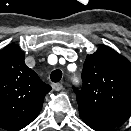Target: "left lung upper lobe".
Returning <instances> with one entry per match:
<instances>
[{
    "instance_id": "5c2ea615",
    "label": "left lung upper lobe",
    "mask_w": 131,
    "mask_h": 131,
    "mask_svg": "<svg viewBox=\"0 0 131 131\" xmlns=\"http://www.w3.org/2000/svg\"><path fill=\"white\" fill-rule=\"evenodd\" d=\"M77 94L81 119L96 131H112L131 115V63L108 46L87 55Z\"/></svg>"
}]
</instances>
